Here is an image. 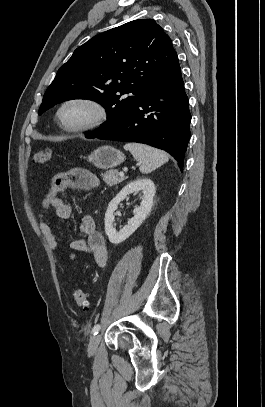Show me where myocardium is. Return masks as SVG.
Wrapping results in <instances>:
<instances>
[{
	"instance_id": "f54148a6",
	"label": "myocardium",
	"mask_w": 265,
	"mask_h": 407,
	"mask_svg": "<svg viewBox=\"0 0 265 407\" xmlns=\"http://www.w3.org/2000/svg\"><path fill=\"white\" fill-rule=\"evenodd\" d=\"M71 105H81L90 111L88 119L81 123H67L62 118L63 111ZM109 117L108 108L99 100L89 96H72L64 99L55 111L58 126L67 133H83L104 125Z\"/></svg>"
}]
</instances>
